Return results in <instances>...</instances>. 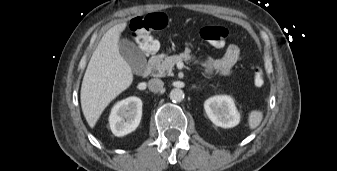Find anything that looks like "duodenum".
<instances>
[{
	"instance_id": "duodenum-1",
	"label": "duodenum",
	"mask_w": 337,
	"mask_h": 171,
	"mask_svg": "<svg viewBox=\"0 0 337 171\" xmlns=\"http://www.w3.org/2000/svg\"><path fill=\"white\" fill-rule=\"evenodd\" d=\"M153 61H154V58L151 60V62H153ZM150 71H151V63L148 64V65L143 69V71H142V77L148 76V74L150 73Z\"/></svg>"
}]
</instances>
